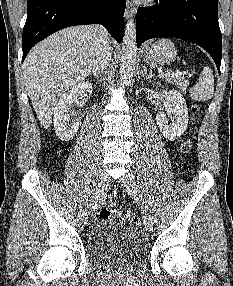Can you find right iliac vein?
<instances>
[{
	"label": "right iliac vein",
	"instance_id": "obj_1",
	"mask_svg": "<svg viewBox=\"0 0 233 286\" xmlns=\"http://www.w3.org/2000/svg\"><path fill=\"white\" fill-rule=\"evenodd\" d=\"M108 182H109L108 175L105 172H101L98 177V185L95 192L93 213H96L101 205V202L108 187Z\"/></svg>",
	"mask_w": 233,
	"mask_h": 286
}]
</instances>
